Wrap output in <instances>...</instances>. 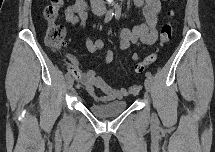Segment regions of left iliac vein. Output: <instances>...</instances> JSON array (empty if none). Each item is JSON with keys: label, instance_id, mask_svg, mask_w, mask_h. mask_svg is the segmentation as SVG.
I'll return each mask as SVG.
<instances>
[{"label": "left iliac vein", "instance_id": "obj_1", "mask_svg": "<svg viewBox=\"0 0 215 152\" xmlns=\"http://www.w3.org/2000/svg\"><path fill=\"white\" fill-rule=\"evenodd\" d=\"M145 88L147 90V92H150L151 90V86H152V81L151 79L147 78L144 82Z\"/></svg>", "mask_w": 215, "mask_h": 152}]
</instances>
